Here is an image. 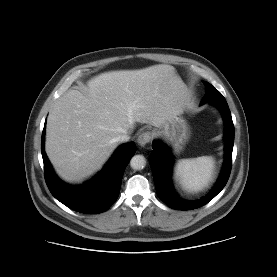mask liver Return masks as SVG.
<instances>
[{
    "instance_id": "1",
    "label": "liver",
    "mask_w": 277,
    "mask_h": 277,
    "mask_svg": "<svg viewBox=\"0 0 277 277\" xmlns=\"http://www.w3.org/2000/svg\"><path fill=\"white\" fill-rule=\"evenodd\" d=\"M187 87L171 65L102 73L85 93L69 90L52 106L45 150L58 175L81 182L100 170L117 147L116 137L135 123L162 126L180 113Z\"/></svg>"
}]
</instances>
